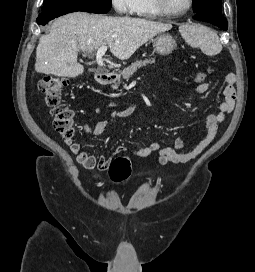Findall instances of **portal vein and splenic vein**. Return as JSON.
<instances>
[{"label": "portal vein and splenic vein", "instance_id": "1", "mask_svg": "<svg viewBox=\"0 0 255 272\" xmlns=\"http://www.w3.org/2000/svg\"><path fill=\"white\" fill-rule=\"evenodd\" d=\"M107 51V46L106 45H102L96 53V61L97 64L100 66H105L104 62H103V56L105 55Z\"/></svg>", "mask_w": 255, "mask_h": 272}]
</instances>
